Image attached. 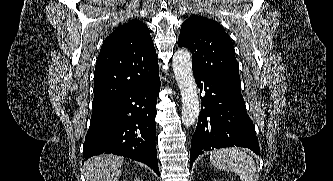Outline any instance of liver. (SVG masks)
Segmentation results:
<instances>
[{
    "label": "liver",
    "mask_w": 333,
    "mask_h": 181,
    "mask_svg": "<svg viewBox=\"0 0 333 181\" xmlns=\"http://www.w3.org/2000/svg\"><path fill=\"white\" fill-rule=\"evenodd\" d=\"M123 162L122 156L112 154L94 156L84 164L85 179L86 181H119Z\"/></svg>",
    "instance_id": "1"
}]
</instances>
